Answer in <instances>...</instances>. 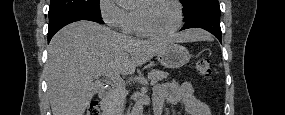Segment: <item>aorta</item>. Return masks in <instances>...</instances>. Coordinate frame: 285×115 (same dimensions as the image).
<instances>
[{
	"label": "aorta",
	"instance_id": "aorta-1",
	"mask_svg": "<svg viewBox=\"0 0 285 115\" xmlns=\"http://www.w3.org/2000/svg\"><path fill=\"white\" fill-rule=\"evenodd\" d=\"M119 5L125 3V0H116ZM131 115H143V101L139 100L136 102L134 107L132 108Z\"/></svg>",
	"mask_w": 285,
	"mask_h": 115
}]
</instances>
